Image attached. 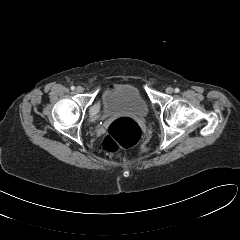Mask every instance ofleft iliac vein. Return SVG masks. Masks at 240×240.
<instances>
[{
  "label": "left iliac vein",
  "mask_w": 240,
  "mask_h": 240,
  "mask_svg": "<svg viewBox=\"0 0 240 240\" xmlns=\"http://www.w3.org/2000/svg\"><path fill=\"white\" fill-rule=\"evenodd\" d=\"M174 92L173 88L172 87H167L166 88V93L167 94H172Z\"/></svg>",
  "instance_id": "4c4485c4"
}]
</instances>
